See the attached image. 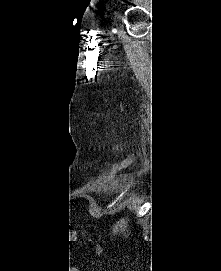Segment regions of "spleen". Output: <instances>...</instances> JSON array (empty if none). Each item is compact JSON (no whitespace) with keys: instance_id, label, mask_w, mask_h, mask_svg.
<instances>
[{"instance_id":"obj_1","label":"spleen","mask_w":221,"mask_h":271,"mask_svg":"<svg viewBox=\"0 0 221 271\" xmlns=\"http://www.w3.org/2000/svg\"><path fill=\"white\" fill-rule=\"evenodd\" d=\"M127 225L128 221H125V219H119L117 223L114 225L113 231H123L124 235H129V231H127Z\"/></svg>"}]
</instances>
